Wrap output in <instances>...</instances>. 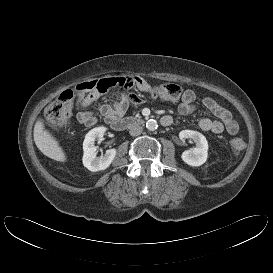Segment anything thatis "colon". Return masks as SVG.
<instances>
[{"label":"colon","mask_w":273,"mask_h":273,"mask_svg":"<svg viewBox=\"0 0 273 273\" xmlns=\"http://www.w3.org/2000/svg\"><path fill=\"white\" fill-rule=\"evenodd\" d=\"M137 85V78L131 76L111 77L96 79L81 83L72 89L63 91L52 100L45 112L47 127L59 131L70 123L71 112L77 101H82L91 96H98L112 88L129 90ZM181 87L175 83H166L151 90L152 96L168 100H176L181 95ZM246 143L242 137H234L229 141V148L234 152L242 151Z\"/></svg>","instance_id":"1"}]
</instances>
